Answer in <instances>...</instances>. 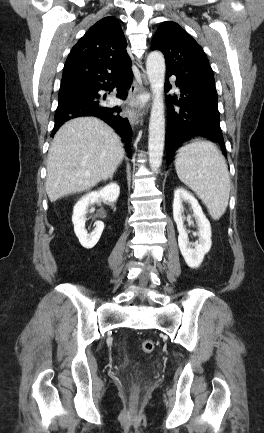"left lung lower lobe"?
Listing matches in <instances>:
<instances>
[{
  "label": "left lung lower lobe",
  "mask_w": 264,
  "mask_h": 433,
  "mask_svg": "<svg viewBox=\"0 0 264 433\" xmlns=\"http://www.w3.org/2000/svg\"><path fill=\"white\" fill-rule=\"evenodd\" d=\"M171 75L175 74L167 70L166 84ZM176 77L175 83L180 88V95L166 97L168 108L165 136L167 164L171 162L174 151L193 138H205L219 144L223 155L227 156L220 128L215 85L186 81Z\"/></svg>",
  "instance_id": "left-lung-lower-lobe-1"
}]
</instances>
